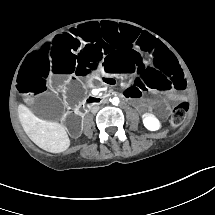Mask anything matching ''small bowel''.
<instances>
[{
    "mask_svg": "<svg viewBox=\"0 0 215 215\" xmlns=\"http://www.w3.org/2000/svg\"><path fill=\"white\" fill-rule=\"evenodd\" d=\"M125 96H127V97H134L135 95H134V93L132 91H126L125 92Z\"/></svg>",
    "mask_w": 215,
    "mask_h": 215,
    "instance_id": "c3829d8e",
    "label": "small bowel"
}]
</instances>
